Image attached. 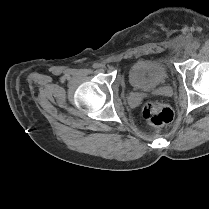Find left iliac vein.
<instances>
[{"mask_svg":"<svg viewBox=\"0 0 209 209\" xmlns=\"http://www.w3.org/2000/svg\"><path fill=\"white\" fill-rule=\"evenodd\" d=\"M191 53H192V50H191L190 48H188V49L186 50V54L189 55V54H191Z\"/></svg>","mask_w":209,"mask_h":209,"instance_id":"4c4485c4","label":"left iliac vein"}]
</instances>
